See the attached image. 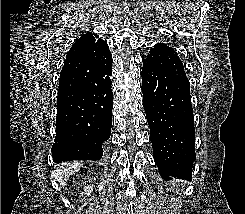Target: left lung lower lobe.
I'll list each match as a JSON object with an SVG mask.
<instances>
[{
	"label": "left lung lower lobe",
	"mask_w": 245,
	"mask_h": 214,
	"mask_svg": "<svg viewBox=\"0 0 245 214\" xmlns=\"http://www.w3.org/2000/svg\"><path fill=\"white\" fill-rule=\"evenodd\" d=\"M144 108L153 156L162 178L192 181L194 116L186 76L143 66Z\"/></svg>",
	"instance_id": "obj_1"
}]
</instances>
